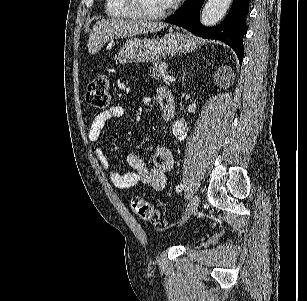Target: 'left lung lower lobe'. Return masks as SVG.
Here are the masks:
<instances>
[{
    "instance_id": "0a47b994",
    "label": "left lung lower lobe",
    "mask_w": 307,
    "mask_h": 301,
    "mask_svg": "<svg viewBox=\"0 0 307 301\" xmlns=\"http://www.w3.org/2000/svg\"><path fill=\"white\" fill-rule=\"evenodd\" d=\"M204 1L186 0L165 22L181 26L197 36L226 43L233 48L241 63L244 54L243 37L247 32L249 0H233L227 17L215 27H206L200 23L199 13Z\"/></svg>"
}]
</instances>
